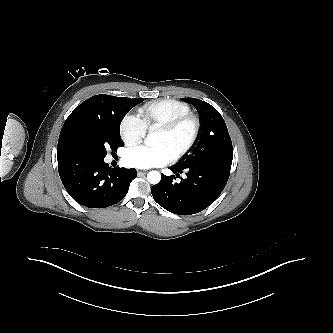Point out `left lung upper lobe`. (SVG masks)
Instances as JSON below:
<instances>
[{"label":"left lung upper lobe","mask_w":333,"mask_h":333,"mask_svg":"<svg viewBox=\"0 0 333 333\" xmlns=\"http://www.w3.org/2000/svg\"><path fill=\"white\" fill-rule=\"evenodd\" d=\"M198 111L202 130L193 153L178 165H190L206 160L232 162L233 147L225 121L220 113L210 104L196 98H183Z\"/></svg>","instance_id":"obj_1"}]
</instances>
